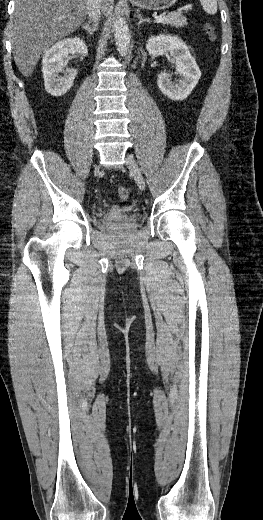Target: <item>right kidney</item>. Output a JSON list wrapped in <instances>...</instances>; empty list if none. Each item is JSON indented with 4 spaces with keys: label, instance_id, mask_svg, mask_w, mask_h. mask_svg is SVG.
<instances>
[{
    "label": "right kidney",
    "instance_id": "1",
    "mask_svg": "<svg viewBox=\"0 0 263 520\" xmlns=\"http://www.w3.org/2000/svg\"><path fill=\"white\" fill-rule=\"evenodd\" d=\"M88 54L85 42L78 38H66L58 41L48 49L42 59V72L46 91L59 97L67 93L73 86L77 69H65L64 61L69 54ZM59 73H63L62 76Z\"/></svg>",
    "mask_w": 263,
    "mask_h": 520
}]
</instances>
